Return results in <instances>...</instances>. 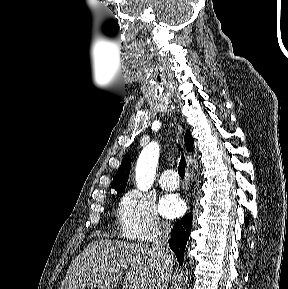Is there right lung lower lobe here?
<instances>
[{
    "instance_id": "1",
    "label": "right lung lower lobe",
    "mask_w": 288,
    "mask_h": 289,
    "mask_svg": "<svg viewBox=\"0 0 288 289\" xmlns=\"http://www.w3.org/2000/svg\"><path fill=\"white\" fill-rule=\"evenodd\" d=\"M191 227L192 215L189 213L186 214L181 220L177 221L172 229L169 245L174 251L180 264L183 262L184 249L189 239Z\"/></svg>"
}]
</instances>
